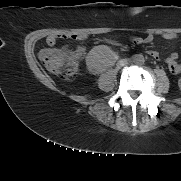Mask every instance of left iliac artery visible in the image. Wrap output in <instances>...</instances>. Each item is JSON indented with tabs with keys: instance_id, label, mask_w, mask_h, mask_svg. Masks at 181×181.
Returning <instances> with one entry per match:
<instances>
[{
	"instance_id": "44dca946",
	"label": "left iliac artery",
	"mask_w": 181,
	"mask_h": 181,
	"mask_svg": "<svg viewBox=\"0 0 181 181\" xmlns=\"http://www.w3.org/2000/svg\"><path fill=\"white\" fill-rule=\"evenodd\" d=\"M140 62H141V64H144V59H141Z\"/></svg>"
}]
</instances>
